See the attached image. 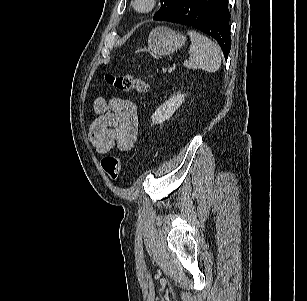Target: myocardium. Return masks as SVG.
I'll return each instance as SVG.
<instances>
[{
    "instance_id": "myocardium-1",
    "label": "myocardium",
    "mask_w": 307,
    "mask_h": 301,
    "mask_svg": "<svg viewBox=\"0 0 307 301\" xmlns=\"http://www.w3.org/2000/svg\"><path fill=\"white\" fill-rule=\"evenodd\" d=\"M140 2L142 0H132L131 6L133 10L139 14L147 15L157 8L159 0H145V6H140Z\"/></svg>"
}]
</instances>
